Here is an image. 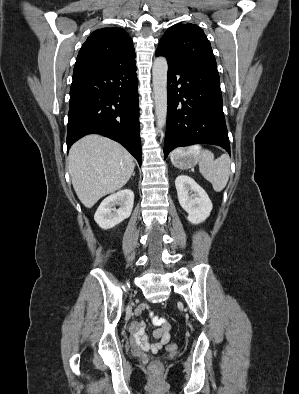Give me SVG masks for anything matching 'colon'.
<instances>
[{"instance_id":"colon-1","label":"colon","mask_w":299,"mask_h":394,"mask_svg":"<svg viewBox=\"0 0 299 394\" xmlns=\"http://www.w3.org/2000/svg\"><path fill=\"white\" fill-rule=\"evenodd\" d=\"M173 347H174V345H171V346H170V348H173ZM159 368H160V363H159L158 361H154V362H152L151 365H150V369H151L153 372H157V371L159 370Z\"/></svg>"}]
</instances>
